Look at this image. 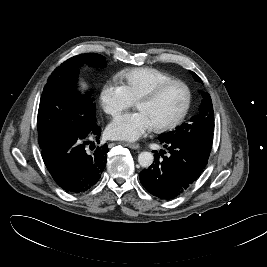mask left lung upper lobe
I'll list each match as a JSON object with an SVG mask.
<instances>
[{"mask_svg":"<svg viewBox=\"0 0 267 267\" xmlns=\"http://www.w3.org/2000/svg\"><path fill=\"white\" fill-rule=\"evenodd\" d=\"M194 79L201 82V79L194 72H191ZM202 102L199 112L186 124L179 126L176 130L162 134L161 141L186 142L198 148L205 155L209 156L214 131V111L209 93L200 91Z\"/></svg>","mask_w":267,"mask_h":267,"instance_id":"left-lung-upper-lobe-1","label":"left lung upper lobe"}]
</instances>
